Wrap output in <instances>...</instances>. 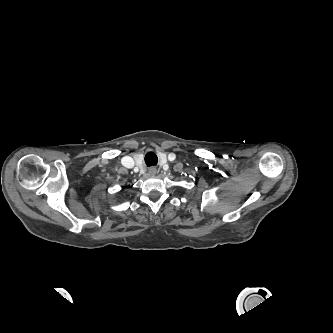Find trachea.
I'll use <instances>...</instances> for the list:
<instances>
[{"instance_id":"3493384b","label":"trachea","mask_w":333,"mask_h":333,"mask_svg":"<svg viewBox=\"0 0 333 333\" xmlns=\"http://www.w3.org/2000/svg\"><path fill=\"white\" fill-rule=\"evenodd\" d=\"M158 158L154 152H148L145 155V163L148 167L157 165Z\"/></svg>"}]
</instances>
